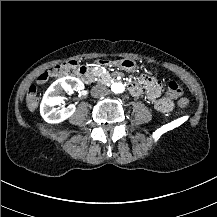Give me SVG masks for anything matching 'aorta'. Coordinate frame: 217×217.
Returning <instances> with one entry per match:
<instances>
[{
  "instance_id": "aorta-1",
  "label": "aorta",
  "mask_w": 217,
  "mask_h": 217,
  "mask_svg": "<svg viewBox=\"0 0 217 217\" xmlns=\"http://www.w3.org/2000/svg\"><path fill=\"white\" fill-rule=\"evenodd\" d=\"M112 90L115 93H123L125 92V85L123 83H115L112 85Z\"/></svg>"
}]
</instances>
